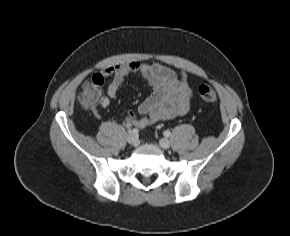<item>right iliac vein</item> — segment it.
Returning <instances> with one entry per match:
<instances>
[{"mask_svg": "<svg viewBox=\"0 0 290 236\" xmlns=\"http://www.w3.org/2000/svg\"><path fill=\"white\" fill-rule=\"evenodd\" d=\"M127 142L133 146H136L138 144V138L136 135H134L133 133H130L127 136Z\"/></svg>", "mask_w": 290, "mask_h": 236, "instance_id": "right-iliac-vein-1", "label": "right iliac vein"}]
</instances>
